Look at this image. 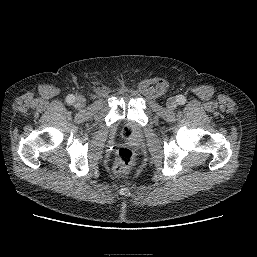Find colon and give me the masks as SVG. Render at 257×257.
Here are the masks:
<instances>
[{
	"instance_id": "1",
	"label": "colon",
	"mask_w": 257,
	"mask_h": 257,
	"mask_svg": "<svg viewBox=\"0 0 257 257\" xmlns=\"http://www.w3.org/2000/svg\"><path fill=\"white\" fill-rule=\"evenodd\" d=\"M132 134L131 128L126 126L123 130V135L130 138ZM135 160V151L131 145L121 146L116 154L114 169L118 174H124L130 170Z\"/></svg>"
}]
</instances>
